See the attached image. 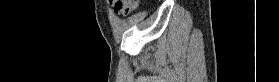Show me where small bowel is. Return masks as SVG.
<instances>
[{
    "mask_svg": "<svg viewBox=\"0 0 279 82\" xmlns=\"http://www.w3.org/2000/svg\"><path fill=\"white\" fill-rule=\"evenodd\" d=\"M136 6H133V7H128L124 4H112V8L113 10L120 14V15H126L128 13H130Z\"/></svg>",
    "mask_w": 279,
    "mask_h": 82,
    "instance_id": "1",
    "label": "small bowel"
}]
</instances>
